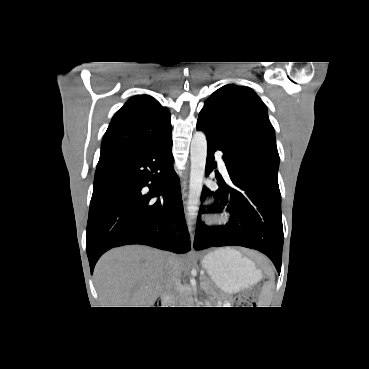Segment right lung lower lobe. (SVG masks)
Listing matches in <instances>:
<instances>
[{"mask_svg": "<svg viewBox=\"0 0 369 369\" xmlns=\"http://www.w3.org/2000/svg\"><path fill=\"white\" fill-rule=\"evenodd\" d=\"M171 147L170 134L97 165L86 232L91 273L117 246L191 249Z\"/></svg>", "mask_w": 369, "mask_h": 369, "instance_id": "obj_1", "label": "right lung lower lobe"}]
</instances>
